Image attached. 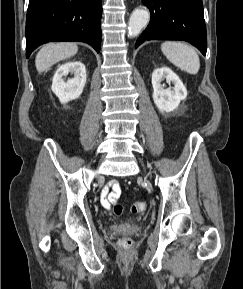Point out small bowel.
Here are the masks:
<instances>
[{
    "mask_svg": "<svg viewBox=\"0 0 243 289\" xmlns=\"http://www.w3.org/2000/svg\"><path fill=\"white\" fill-rule=\"evenodd\" d=\"M109 186L111 187V191L105 188L101 195V203L108 209L119 200L122 192L121 186L117 181H111Z\"/></svg>",
    "mask_w": 243,
    "mask_h": 289,
    "instance_id": "1",
    "label": "small bowel"
}]
</instances>
